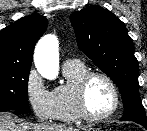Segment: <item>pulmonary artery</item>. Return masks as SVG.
Listing matches in <instances>:
<instances>
[{
	"mask_svg": "<svg viewBox=\"0 0 147 131\" xmlns=\"http://www.w3.org/2000/svg\"><path fill=\"white\" fill-rule=\"evenodd\" d=\"M73 62H79L77 59H69L66 63H73Z\"/></svg>",
	"mask_w": 147,
	"mask_h": 131,
	"instance_id": "pulmonary-artery-1",
	"label": "pulmonary artery"
}]
</instances>
